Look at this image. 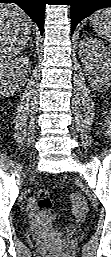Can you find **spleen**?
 <instances>
[{"label": "spleen", "mask_w": 111, "mask_h": 257, "mask_svg": "<svg viewBox=\"0 0 111 257\" xmlns=\"http://www.w3.org/2000/svg\"><path fill=\"white\" fill-rule=\"evenodd\" d=\"M90 21L98 36L111 43V8L96 11Z\"/></svg>", "instance_id": "spleen-1"}]
</instances>
